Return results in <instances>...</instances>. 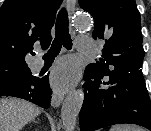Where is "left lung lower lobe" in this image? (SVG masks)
<instances>
[{"instance_id": "obj_1", "label": "left lung lower lobe", "mask_w": 151, "mask_h": 131, "mask_svg": "<svg viewBox=\"0 0 151 131\" xmlns=\"http://www.w3.org/2000/svg\"><path fill=\"white\" fill-rule=\"evenodd\" d=\"M85 98L80 111V130L131 123L151 130V104L142 70L135 68L105 77L86 68Z\"/></svg>"}]
</instances>
